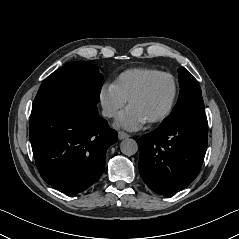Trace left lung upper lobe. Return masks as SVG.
<instances>
[{"instance_id": "5c2ea615", "label": "left lung upper lobe", "mask_w": 239, "mask_h": 239, "mask_svg": "<svg viewBox=\"0 0 239 239\" xmlns=\"http://www.w3.org/2000/svg\"><path fill=\"white\" fill-rule=\"evenodd\" d=\"M180 93L172 113L161 123L165 126L189 113H204L201 88L196 79L185 68H179Z\"/></svg>"}]
</instances>
